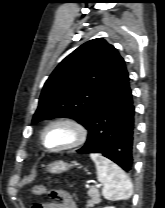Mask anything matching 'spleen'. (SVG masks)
<instances>
[{"mask_svg": "<svg viewBox=\"0 0 165 208\" xmlns=\"http://www.w3.org/2000/svg\"><path fill=\"white\" fill-rule=\"evenodd\" d=\"M97 169V179L103 184L102 194L108 200H126L133 194V186L123 170L101 154L90 155Z\"/></svg>", "mask_w": 165, "mask_h": 208, "instance_id": "obj_1", "label": "spleen"}]
</instances>
